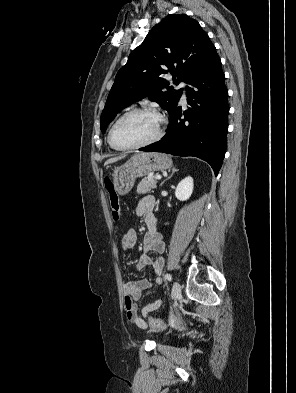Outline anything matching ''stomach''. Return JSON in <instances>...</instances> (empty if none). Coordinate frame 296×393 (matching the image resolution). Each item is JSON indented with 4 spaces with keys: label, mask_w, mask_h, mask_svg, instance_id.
Instances as JSON below:
<instances>
[{
    "label": "stomach",
    "mask_w": 296,
    "mask_h": 393,
    "mask_svg": "<svg viewBox=\"0 0 296 393\" xmlns=\"http://www.w3.org/2000/svg\"><path fill=\"white\" fill-rule=\"evenodd\" d=\"M172 166L171 158L163 153H138L113 173V185L119 195L127 194L134 186L135 179L154 171H163Z\"/></svg>",
    "instance_id": "1"
}]
</instances>
